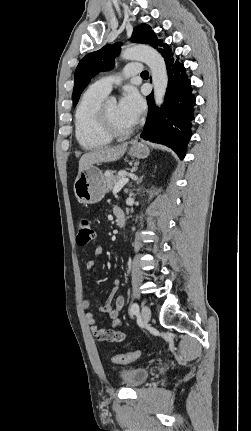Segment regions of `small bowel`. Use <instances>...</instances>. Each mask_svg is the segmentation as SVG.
<instances>
[{
    "label": "small bowel",
    "instance_id": "1",
    "mask_svg": "<svg viewBox=\"0 0 251 431\" xmlns=\"http://www.w3.org/2000/svg\"><path fill=\"white\" fill-rule=\"evenodd\" d=\"M120 208H115L114 213ZM103 253V248L97 246L95 248V256L99 257ZM97 264V260H90L87 262V270H92ZM120 287V281L114 280L111 288V292L106 301L100 305L99 310L109 316L111 320V326L108 328L99 327L96 323V319L93 313L86 312L85 320L88 323L91 333L98 341L107 342H121L125 339L126 335L123 331L119 330L122 328L123 323L119 318L120 312L124 306V298L121 295H116L117 290ZM81 306L83 309L88 310L91 306V302L87 298L81 300Z\"/></svg>",
    "mask_w": 251,
    "mask_h": 431
}]
</instances>
